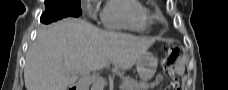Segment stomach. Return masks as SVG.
I'll return each instance as SVG.
<instances>
[{
    "label": "stomach",
    "instance_id": "1",
    "mask_svg": "<svg viewBox=\"0 0 228 90\" xmlns=\"http://www.w3.org/2000/svg\"><path fill=\"white\" fill-rule=\"evenodd\" d=\"M158 65V59L150 52H146L137 61L136 68L140 78L147 81L153 77Z\"/></svg>",
    "mask_w": 228,
    "mask_h": 90
}]
</instances>
